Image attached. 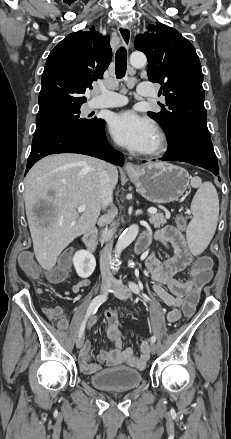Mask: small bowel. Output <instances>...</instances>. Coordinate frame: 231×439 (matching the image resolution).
I'll return each instance as SVG.
<instances>
[{"label": "small bowel", "mask_w": 231, "mask_h": 439, "mask_svg": "<svg viewBox=\"0 0 231 439\" xmlns=\"http://www.w3.org/2000/svg\"><path fill=\"white\" fill-rule=\"evenodd\" d=\"M141 238L147 244L155 240L171 250L172 255L164 261H160L154 253H149L146 257V268L154 280L153 289L162 302L169 307L167 319L169 322H176L181 317L180 306L184 294L194 287L192 280L182 281L176 275L183 271L192 260L185 237L180 230L174 226H167L154 234H144ZM90 284L89 279H83L72 287L74 293H78L81 288ZM51 319L62 329L68 327V319L64 309L60 306L48 310ZM107 322L106 334L113 346L107 350H102L97 356V362H92L90 345L87 342L79 354V364L83 372L92 374L100 370V364L108 366L127 365L142 370L145 368L149 359L148 345L141 342V355L135 356L130 347L123 348V337L118 326V317L114 312L105 315Z\"/></svg>", "instance_id": "1"}]
</instances>
